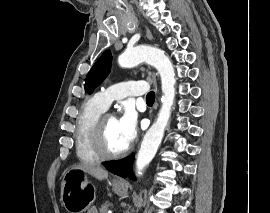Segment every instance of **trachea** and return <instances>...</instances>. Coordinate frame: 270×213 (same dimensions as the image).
<instances>
[{
	"mask_svg": "<svg viewBox=\"0 0 270 213\" xmlns=\"http://www.w3.org/2000/svg\"><path fill=\"white\" fill-rule=\"evenodd\" d=\"M147 103H154L155 101V93L153 91L149 92L146 96Z\"/></svg>",
	"mask_w": 270,
	"mask_h": 213,
	"instance_id": "3493384b",
	"label": "trachea"
}]
</instances>
